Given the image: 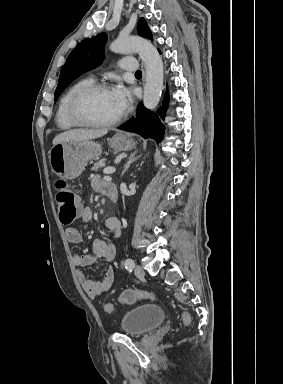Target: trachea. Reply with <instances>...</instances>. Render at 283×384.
I'll use <instances>...</instances> for the list:
<instances>
[{
  "label": "trachea",
  "mask_w": 283,
  "mask_h": 384,
  "mask_svg": "<svg viewBox=\"0 0 283 384\" xmlns=\"http://www.w3.org/2000/svg\"><path fill=\"white\" fill-rule=\"evenodd\" d=\"M135 75H142L141 70H137V71L135 72Z\"/></svg>",
  "instance_id": "obj_1"
}]
</instances>
